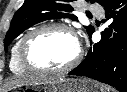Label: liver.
<instances>
[{
    "label": "liver",
    "mask_w": 127,
    "mask_h": 92,
    "mask_svg": "<svg viewBox=\"0 0 127 92\" xmlns=\"http://www.w3.org/2000/svg\"><path fill=\"white\" fill-rule=\"evenodd\" d=\"M62 79L59 76H50L47 77L46 75H41L38 77H19L10 79L7 81L4 85L3 92H7L11 89H14L16 87H20L22 85H38V84H48V83H54L58 80Z\"/></svg>",
    "instance_id": "liver-1"
}]
</instances>
